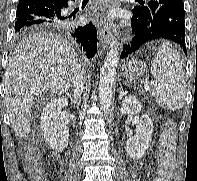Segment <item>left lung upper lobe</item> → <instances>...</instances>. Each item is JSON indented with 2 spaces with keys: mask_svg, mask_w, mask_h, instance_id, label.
Here are the masks:
<instances>
[{
  "mask_svg": "<svg viewBox=\"0 0 197 181\" xmlns=\"http://www.w3.org/2000/svg\"><path fill=\"white\" fill-rule=\"evenodd\" d=\"M173 1H182V0H148L146 4L141 3V6H136L133 8L132 19L135 21H143V22L149 21L161 5Z\"/></svg>",
  "mask_w": 197,
  "mask_h": 181,
  "instance_id": "5c2ea615",
  "label": "left lung upper lobe"
}]
</instances>
